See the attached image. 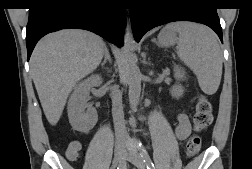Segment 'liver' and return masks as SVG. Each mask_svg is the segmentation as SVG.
<instances>
[{
    "label": "liver",
    "instance_id": "liver-1",
    "mask_svg": "<svg viewBox=\"0 0 252 169\" xmlns=\"http://www.w3.org/2000/svg\"><path fill=\"white\" fill-rule=\"evenodd\" d=\"M105 46L98 35L79 29L50 33L37 43L30 59L31 73L51 125L58 123L76 83L99 66Z\"/></svg>",
    "mask_w": 252,
    "mask_h": 169
}]
</instances>
